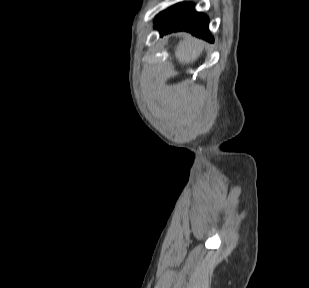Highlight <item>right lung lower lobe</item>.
Returning a JSON list of instances; mask_svg holds the SVG:
<instances>
[{
  "instance_id": "98d812e1",
  "label": "right lung lower lobe",
  "mask_w": 309,
  "mask_h": 288,
  "mask_svg": "<svg viewBox=\"0 0 309 288\" xmlns=\"http://www.w3.org/2000/svg\"><path fill=\"white\" fill-rule=\"evenodd\" d=\"M208 23L207 16L196 12L193 4L182 3L177 9L168 13L155 24V28H158L161 36L177 31H187L199 38L213 42L214 39L209 32Z\"/></svg>"
}]
</instances>
